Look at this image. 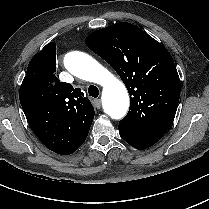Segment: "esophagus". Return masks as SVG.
<instances>
[{
	"label": "esophagus",
	"instance_id": "obj_1",
	"mask_svg": "<svg viewBox=\"0 0 209 209\" xmlns=\"http://www.w3.org/2000/svg\"><path fill=\"white\" fill-rule=\"evenodd\" d=\"M95 107L98 109L101 108V99L100 98L95 99Z\"/></svg>",
	"mask_w": 209,
	"mask_h": 209
}]
</instances>
